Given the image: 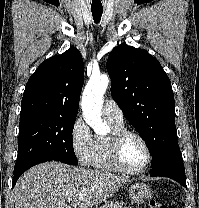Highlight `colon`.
I'll return each instance as SVG.
<instances>
[{
  "mask_svg": "<svg viewBox=\"0 0 199 208\" xmlns=\"http://www.w3.org/2000/svg\"><path fill=\"white\" fill-rule=\"evenodd\" d=\"M149 208H165L164 204L156 199L149 201Z\"/></svg>",
  "mask_w": 199,
  "mask_h": 208,
  "instance_id": "obj_1",
  "label": "colon"
}]
</instances>
